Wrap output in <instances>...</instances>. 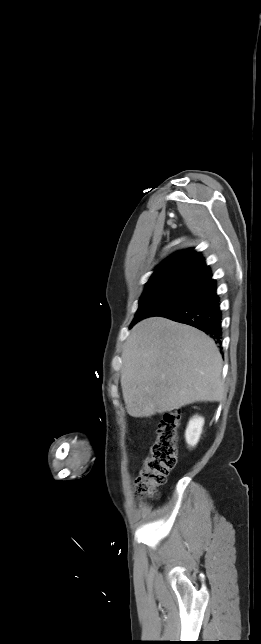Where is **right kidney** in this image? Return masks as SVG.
Masks as SVG:
<instances>
[{
    "instance_id": "obj_1",
    "label": "right kidney",
    "mask_w": 261,
    "mask_h": 644,
    "mask_svg": "<svg viewBox=\"0 0 261 644\" xmlns=\"http://www.w3.org/2000/svg\"><path fill=\"white\" fill-rule=\"evenodd\" d=\"M204 425V419L199 416H194L188 423L185 438L189 446H195L200 438L202 433V428Z\"/></svg>"
}]
</instances>
